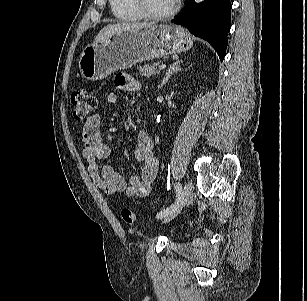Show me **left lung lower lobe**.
<instances>
[{
    "label": "left lung lower lobe",
    "instance_id": "obj_1",
    "mask_svg": "<svg viewBox=\"0 0 307 301\" xmlns=\"http://www.w3.org/2000/svg\"><path fill=\"white\" fill-rule=\"evenodd\" d=\"M230 0H185L183 10L171 21L186 27L192 34L207 40L223 61L231 25Z\"/></svg>",
    "mask_w": 307,
    "mask_h": 301
}]
</instances>
